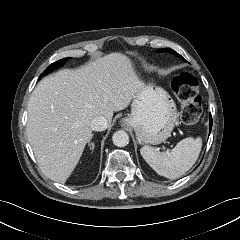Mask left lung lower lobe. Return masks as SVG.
<instances>
[{
  "label": "left lung lower lobe",
  "mask_w": 240,
  "mask_h": 240,
  "mask_svg": "<svg viewBox=\"0 0 240 240\" xmlns=\"http://www.w3.org/2000/svg\"><path fill=\"white\" fill-rule=\"evenodd\" d=\"M211 128H212V118H210V131H211Z\"/></svg>",
  "instance_id": "left-lung-lower-lobe-1"
}]
</instances>
